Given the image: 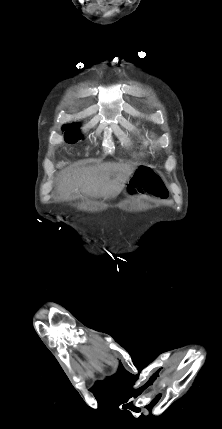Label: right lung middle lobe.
Listing matches in <instances>:
<instances>
[{
	"instance_id": "dd1d6c3e",
	"label": "right lung middle lobe",
	"mask_w": 222,
	"mask_h": 429,
	"mask_svg": "<svg viewBox=\"0 0 222 429\" xmlns=\"http://www.w3.org/2000/svg\"><path fill=\"white\" fill-rule=\"evenodd\" d=\"M78 126L79 125L75 124V123L70 124L67 127L63 126L62 129L66 130V132L64 134L66 142H68L70 144H73V143L77 142L79 138H82V136L80 135L79 130L77 129Z\"/></svg>"
}]
</instances>
